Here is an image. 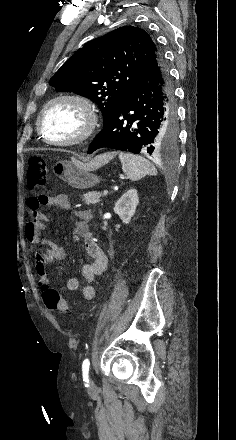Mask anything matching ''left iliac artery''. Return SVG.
Instances as JSON below:
<instances>
[{
    "label": "left iliac artery",
    "instance_id": "obj_1",
    "mask_svg": "<svg viewBox=\"0 0 236 440\" xmlns=\"http://www.w3.org/2000/svg\"><path fill=\"white\" fill-rule=\"evenodd\" d=\"M89 365H90L89 360L85 359L83 361V364H82V375H83V381L86 383L85 384L86 387L89 386L88 385V382H89V379H88Z\"/></svg>",
    "mask_w": 236,
    "mask_h": 440
}]
</instances>
